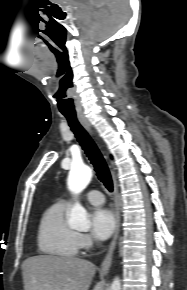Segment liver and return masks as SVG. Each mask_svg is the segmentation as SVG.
Returning a JSON list of instances; mask_svg holds the SVG:
<instances>
[{
	"label": "liver",
	"instance_id": "6515ba94",
	"mask_svg": "<svg viewBox=\"0 0 187 290\" xmlns=\"http://www.w3.org/2000/svg\"><path fill=\"white\" fill-rule=\"evenodd\" d=\"M95 271L93 263L76 257H29L22 264L24 290H88ZM93 290H103V284Z\"/></svg>",
	"mask_w": 187,
	"mask_h": 290
}]
</instances>
